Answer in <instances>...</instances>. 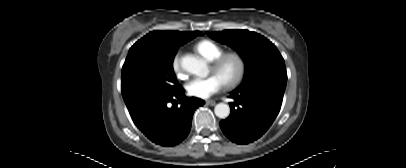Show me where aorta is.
Masks as SVG:
<instances>
[{
	"label": "aorta",
	"mask_w": 406,
	"mask_h": 168,
	"mask_svg": "<svg viewBox=\"0 0 406 168\" xmlns=\"http://www.w3.org/2000/svg\"><path fill=\"white\" fill-rule=\"evenodd\" d=\"M181 66L189 73L195 74L199 77H206L209 73L206 62L193 55H185L181 59ZM215 115L219 118L225 119L230 114V107L225 103H219L214 108Z\"/></svg>",
	"instance_id": "obj_1"
}]
</instances>
